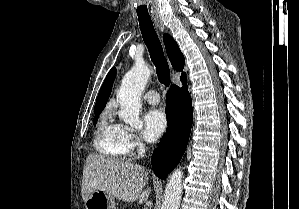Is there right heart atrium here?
<instances>
[{
	"instance_id": "1",
	"label": "right heart atrium",
	"mask_w": 299,
	"mask_h": 209,
	"mask_svg": "<svg viewBox=\"0 0 299 209\" xmlns=\"http://www.w3.org/2000/svg\"><path fill=\"white\" fill-rule=\"evenodd\" d=\"M123 142L127 148L128 153L139 151L142 148L140 137L130 131L128 128L122 126Z\"/></svg>"
}]
</instances>
